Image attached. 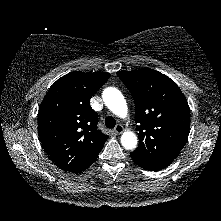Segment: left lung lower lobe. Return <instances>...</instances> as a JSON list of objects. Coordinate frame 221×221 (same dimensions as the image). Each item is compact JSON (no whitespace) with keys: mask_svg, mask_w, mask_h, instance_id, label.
<instances>
[{"mask_svg":"<svg viewBox=\"0 0 221 221\" xmlns=\"http://www.w3.org/2000/svg\"><path fill=\"white\" fill-rule=\"evenodd\" d=\"M130 156L138 166L149 171H157L171 164V161L148 159L146 157H142L134 153H131Z\"/></svg>","mask_w":221,"mask_h":221,"instance_id":"1","label":"left lung lower lobe"}]
</instances>
